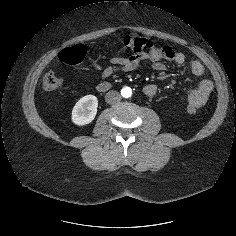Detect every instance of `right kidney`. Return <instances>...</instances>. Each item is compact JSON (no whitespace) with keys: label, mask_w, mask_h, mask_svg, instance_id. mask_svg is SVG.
Instances as JSON below:
<instances>
[{"label":"right kidney","mask_w":236,"mask_h":236,"mask_svg":"<svg viewBox=\"0 0 236 236\" xmlns=\"http://www.w3.org/2000/svg\"><path fill=\"white\" fill-rule=\"evenodd\" d=\"M98 100L94 95L82 97L72 110V122L78 126L91 123L97 113Z\"/></svg>","instance_id":"1"}]
</instances>
